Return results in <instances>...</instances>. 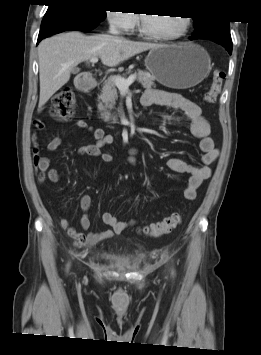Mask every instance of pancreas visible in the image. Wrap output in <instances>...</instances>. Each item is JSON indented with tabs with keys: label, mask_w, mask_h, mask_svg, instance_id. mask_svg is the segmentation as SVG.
<instances>
[{
	"label": "pancreas",
	"mask_w": 261,
	"mask_h": 355,
	"mask_svg": "<svg viewBox=\"0 0 261 355\" xmlns=\"http://www.w3.org/2000/svg\"><path fill=\"white\" fill-rule=\"evenodd\" d=\"M130 72L131 71L128 70V73ZM125 76H126L125 74H123L122 76L118 75V77H122V78H125ZM154 79L155 78L150 74L142 70H138V81L139 83H141V85L144 88L155 87ZM117 98H118L117 89L113 82V77L108 78L103 83L102 93L98 97V105H97L98 110L100 112V118L103 121L112 124L118 123L117 115H113L109 111V109L111 110L115 107V102Z\"/></svg>",
	"instance_id": "obj_1"
}]
</instances>
